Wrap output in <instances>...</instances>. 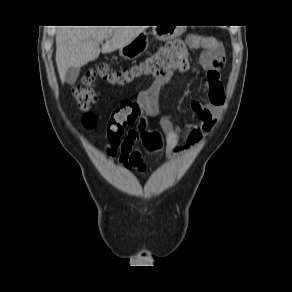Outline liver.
Listing matches in <instances>:
<instances>
[{
  "label": "liver",
  "instance_id": "6515ba94",
  "mask_svg": "<svg viewBox=\"0 0 292 292\" xmlns=\"http://www.w3.org/2000/svg\"><path fill=\"white\" fill-rule=\"evenodd\" d=\"M144 29L139 26H61L56 35V64L61 82L65 81L68 68H80L97 59L100 52L121 49ZM104 39L106 42L100 49Z\"/></svg>",
  "mask_w": 292,
  "mask_h": 292
}]
</instances>
